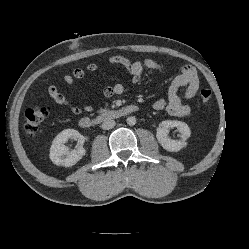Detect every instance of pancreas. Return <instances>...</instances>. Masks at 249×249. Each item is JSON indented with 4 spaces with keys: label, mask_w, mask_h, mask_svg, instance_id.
I'll use <instances>...</instances> for the list:
<instances>
[{
    "label": "pancreas",
    "mask_w": 249,
    "mask_h": 249,
    "mask_svg": "<svg viewBox=\"0 0 249 249\" xmlns=\"http://www.w3.org/2000/svg\"><path fill=\"white\" fill-rule=\"evenodd\" d=\"M106 111H108L106 108L100 110V112H106Z\"/></svg>",
    "instance_id": "1"
}]
</instances>
